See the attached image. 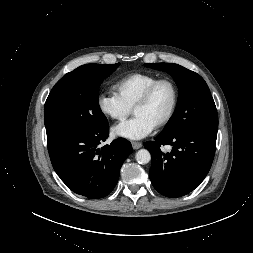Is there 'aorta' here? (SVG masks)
Here are the masks:
<instances>
[{
    "label": "aorta",
    "instance_id": "762f6f07",
    "mask_svg": "<svg viewBox=\"0 0 253 253\" xmlns=\"http://www.w3.org/2000/svg\"><path fill=\"white\" fill-rule=\"evenodd\" d=\"M136 160L140 164H147L151 160V154L147 149H141L136 153Z\"/></svg>",
    "mask_w": 253,
    "mask_h": 253
}]
</instances>
